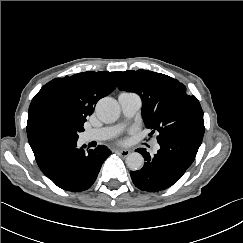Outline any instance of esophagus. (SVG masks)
I'll return each mask as SVG.
<instances>
[{"instance_id": "obj_1", "label": "esophagus", "mask_w": 243, "mask_h": 243, "mask_svg": "<svg viewBox=\"0 0 243 243\" xmlns=\"http://www.w3.org/2000/svg\"><path fill=\"white\" fill-rule=\"evenodd\" d=\"M115 152L119 153L123 157H127L130 154V150L127 149L115 150Z\"/></svg>"}]
</instances>
